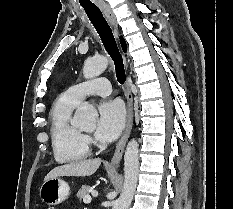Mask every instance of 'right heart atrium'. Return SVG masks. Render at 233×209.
Wrapping results in <instances>:
<instances>
[{
	"mask_svg": "<svg viewBox=\"0 0 233 209\" xmlns=\"http://www.w3.org/2000/svg\"><path fill=\"white\" fill-rule=\"evenodd\" d=\"M85 139H86V141H89V137L86 136Z\"/></svg>",
	"mask_w": 233,
	"mask_h": 209,
	"instance_id": "right-heart-atrium-1",
	"label": "right heart atrium"
}]
</instances>
